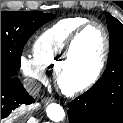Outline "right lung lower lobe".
<instances>
[{"label": "right lung lower lobe", "instance_id": "1", "mask_svg": "<svg viewBox=\"0 0 123 123\" xmlns=\"http://www.w3.org/2000/svg\"><path fill=\"white\" fill-rule=\"evenodd\" d=\"M35 100L27 93L18 77L1 76V120L22 104Z\"/></svg>", "mask_w": 123, "mask_h": 123}]
</instances>
